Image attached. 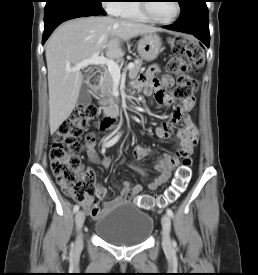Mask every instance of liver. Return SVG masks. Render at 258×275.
<instances>
[{"instance_id": "liver-1", "label": "liver", "mask_w": 258, "mask_h": 275, "mask_svg": "<svg viewBox=\"0 0 258 275\" xmlns=\"http://www.w3.org/2000/svg\"><path fill=\"white\" fill-rule=\"evenodd\" d=\"M160 31L156 27L112 17L90 16L69 20L49 38L46 62L49 89V124L53 134L77 104L83 74L67 71L95 53L110 59L123 57L121 41Z\"/></svg>"}]
</instances>
